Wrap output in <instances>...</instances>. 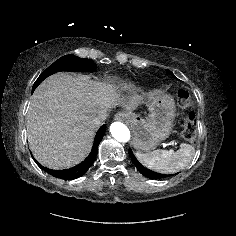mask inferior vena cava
I'll use <instances>...</instances> for the list:
<instances>
[{
  "label": "inferior vena cava",
  "instance_id": "1",
  "mask_svg": "<svg viewBox=\"0 0 236 236\" xmlns=\"http://www.w3.org/2000/svg\"><path fill=\"white\" fill-rule=\"evenodd\" d=\"M103 121H104L103 119L96 117L92 121V126L97 129L99 126L103 124Z\"/></svg>",
  "mask_w": 236,
  "mask_h": 236
}]
</instances>
